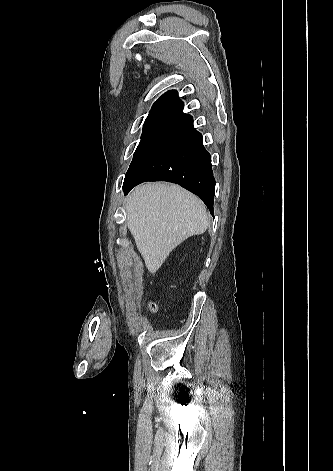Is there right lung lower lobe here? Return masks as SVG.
<instances>
[{"label":"right lung lower lobe","instance_id":"right-lung-lower-lobe-1","mask_svg":"<svg viewBox=\"0 0 333 471\" xmlns=\"http://www.w3.org/2000/svg\"><path fill=\"white\" fill-rule=\"evenodd\" d=\"M145 181H167L198 195L213 215L215 179L211 156L202 135L185 115L161 133L130 165L123 183L124 194Z\"/></svg>","mask_w":333,"mask_h":471}]
</instances>
